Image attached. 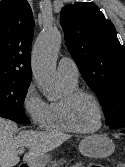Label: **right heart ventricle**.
Wrapping results in <instances>:
<instances>
[{
    "mask_svg": "<svg viewBox=\"0 0 125 167\" xmlns=\"http://www.w3.org/2000/svg\"><path fill=\"white\" fill-rule=\"evenodd\" d=\"M64 95L58 101H53L48 104V113L43 128L47 131L57 133H72L74 130L68 124L64 110H63V99L65 95L78 89L77 82H69L61 80Z\"/></svg>",
    "mask_w": 125,
    "mask_h": 167,
    "instance_id": "1",
    "label": "right heart ventricle"
}]
</instances>
